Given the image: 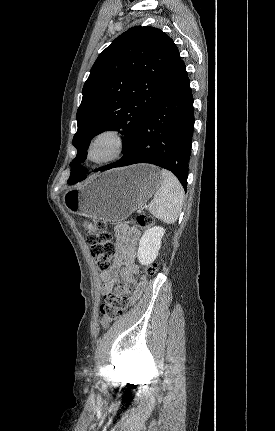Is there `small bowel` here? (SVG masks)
<instances>
[{
    "mask_svg": "<svg viewBox=\"0 0 275 431\" xmlns=\"http://www.w3.org/2000/svg\"><path fill=\"white\" fill-rule=\"evenodd\" d=\"M87 228L91 229L92 226L88 225ZM114 237L116 246L115 258L110 267L100 274L103 282L101 288L103 295L111 293L113 289L118 290L120 282H131L133 275L138 273L135 256L140 238L139 230L126 224H120L114 229ZM141 292L142 286H138L129 302L133 304L140 297Z\"/></svg>",
    "mask_w": 275,
    "mask_h": 431,
    "instance_id": "small-bowel-1",
    "label": "small bowel"
}]
</instances>
